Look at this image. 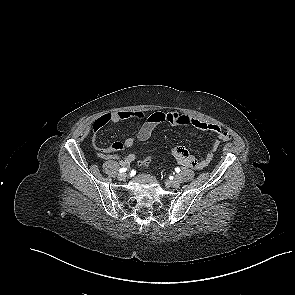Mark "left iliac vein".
Listing matches in <instances>:
<instances>
[{
  "label": "left iliac vein",
  "instance_id": "left-iliac-vein-1",
  "mask_svg": "<svg viewBox=\"0 0 295 295\" xmlns=\"http://www.w3.org/2000/svg\"><path fill=\"white\" fill-rule=\"evenodd\" d=\"M170 185L174 188H178L180 186L179 180H172L170 181Z\"/></svg>",
  "mask_w": 295,
  "mask_h": 295
}]
</instances>
